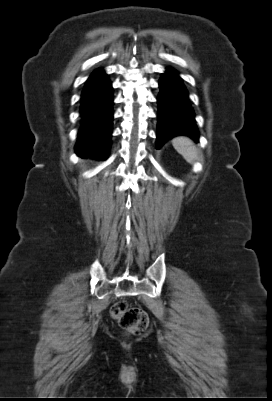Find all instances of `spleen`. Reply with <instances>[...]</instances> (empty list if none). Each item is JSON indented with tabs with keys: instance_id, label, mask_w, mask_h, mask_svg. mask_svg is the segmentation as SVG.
Masks as SVG:
<instances>
[{
	"instance_id": "obj_1",
	"label": "spleen",
	"mask_w": 272,
	"mask_h": 401,
	"mask_svg": "<svg viewBox=\"0 0 272 401\" xmlns=\"http://www.w3.org/2000/svg\"><path fill=\"white\" fill-rule=\"evenodd\" d=\"M173 147L183 158L193 163L197 159V150L193 142L187 137H176L172 140Z\"/></svg>"
}]
</instances>
